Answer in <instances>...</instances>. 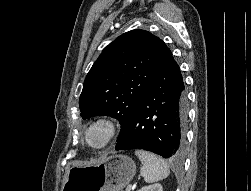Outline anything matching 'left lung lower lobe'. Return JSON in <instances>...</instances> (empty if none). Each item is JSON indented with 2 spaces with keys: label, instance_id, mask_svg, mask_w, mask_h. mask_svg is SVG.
Returning <instances> with one entry per match:
<instances>
[{
  "label": "left lung lower lobe",
  "instance_id": "0a47b994",
  "mask_svg": "<svg viewBox=\"0 0 251 191\" xmlns=\"http://www.w3.org/2000/svg\"><path fill=\"white\" fill-rule=\"evenodd\" d=\"M180 68L173 57L141 100L116 150L143 149L164 158L184 147L186 97Z\"/></svg>",
  "mask_w": 251,
  "mask_h": 191
}]
</instances>
